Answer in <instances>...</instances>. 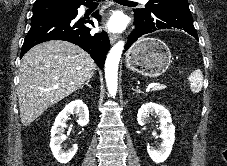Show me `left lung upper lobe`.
Masks as SVG:
<instances>
[{
	"label": "left lung upper lobe",
	"mask_w": 227,
	"mask_h": 166,
	"mask_svg": "<svg viewBox=\"0 0 227 166\" xmlns=\"http://www.w3.org/2000/svg\"><path fill=\"white\" fill-rule=\"evenodd\" d=\"M188 3V0H149L143 9H136L135 12L139 14H148L152 4L162 3V4H171V3Z\"/></svg>",
	"instance_id": "5c2ea615"
}]
</instances>
